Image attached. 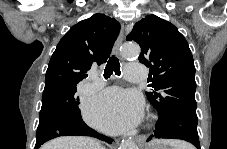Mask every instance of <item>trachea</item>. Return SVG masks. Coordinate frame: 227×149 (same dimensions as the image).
<instances>
[{
	"label": "trachea",
	"mask_w": 227,
	"mask_h": 149,
	"mask_svg": "<svg viewBox=\"0 0 227 149\" xmlns=\"http://www.w3.org/2000/svg\"><path fill=\"white\" fill-rule=\"evenodd\" d=\"M113 72L118 76L121 74L119 60L114 55L111 56L108 60V63L104 70V77L106 79L109 78L111 74H113Z\"/></svg>",
	"instance_id": "1"
}]
</instances>
